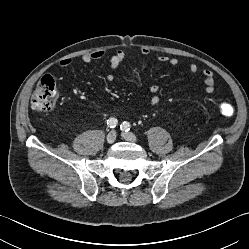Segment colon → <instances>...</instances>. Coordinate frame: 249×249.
Segmentation results:
<instances>
[{
	"instance_id": "1",
	"label": "colon",
	"mask_w": 249,
	"mask_h": 249,
	"mask_svg": "<svg viewBox=\"0 0 249 249\" xmlns=\"http://www.w3.org/2000/svg\"><path fill=\"white\" fill-rule=\"evenodd\" d=\"M32 107L39 112H52L57 104V89L55 79L51 75L42 76L35 88L32 96ZM220 113L225 117L233 115L234 109L229 103L219 105Z\"/></svg>"
}]
</instances>
